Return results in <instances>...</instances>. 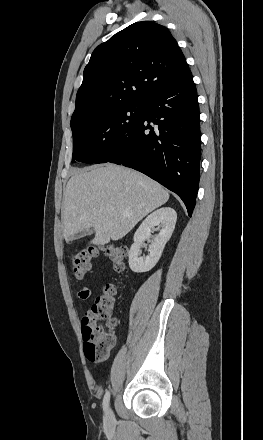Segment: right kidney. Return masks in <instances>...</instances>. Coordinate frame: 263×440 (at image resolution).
Segmentation results:
<instances>
[{
  "label": "right kidney",
  "mask_w": 263,
  "mask_h": 440,
  "mask_svg": "<svg viewBox=\"0 0 263 440\" xmlns=\"http://www.w3.org/2000/svg\"><path fill=\"white\" fill-rule=\"evenodd\" d=\"M177 214L170 207L157 209L141 223L134 234V243L129 251V266L133 272L142 273L151 270L159 261L166 243L171 238L175 229ZM161 226L159 234L154 238V242L149 245V255L139 257L142 243L151 237L152 229Z\"/></svg>",
  "instance_id": "obj_1"
}]
</instances>
